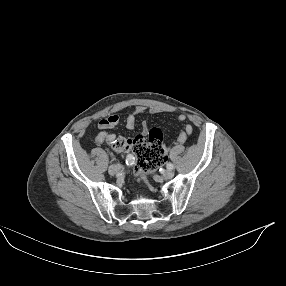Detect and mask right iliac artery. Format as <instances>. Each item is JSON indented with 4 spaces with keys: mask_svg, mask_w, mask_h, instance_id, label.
<instances>
[{
    "mask_svg": "<svg viewBox=\"0 0 286 286\" xmlns=\"http://www.w3.org/2000/svg\"><path fill=\"white\" fill-rule=\"evenodd\" d=\"M134 163V157L133 155L129 154L127 157H126V164L127 165H132Z\"/></svg>",
    "mask_w": 286,
    "mask_h": 286,
    "instance_id": "1",
    "label": "right iliac artery"
}]
</instances>
